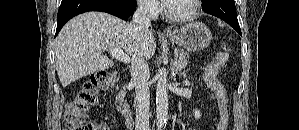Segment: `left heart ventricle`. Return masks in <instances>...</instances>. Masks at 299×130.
<instances>
[{
  "label": "left heart ventricle",
  "mask_w": 299,
  "mask_h": 130,
  "mask_svg": "<svg viewBox=\"0 0 299 130\" xmlns=\"http://www.w3.org/2000/svg\"><path fill=\"white\" fill-rule=\"evenodd\" d=\"M191 0H177L169 4L170 11L173 14H182L187 12L191 7Z\"/></svg>",
  "instance_id": "obj_1"
}]
</instances>
